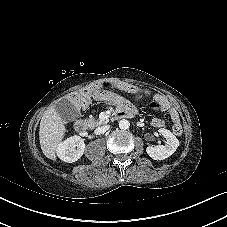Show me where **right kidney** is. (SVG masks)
<instances>
[{
  "instance_id": "1",
  "label": "right kidney",
  "mask_w": 227,
  "mask_h": 227,
  "mask_svg": "<svg viewBox=\"0 0 227 227\" xmlns=\"http://www.w3.org/2000/svg\"><path fill=\"white\" fill-rule=\"evenodd\" d=\"M85 151L84 140L77 135L60 142L57 146V156L64 162L73 163L81 158Z\"/></svg>"
}]
</instances>
